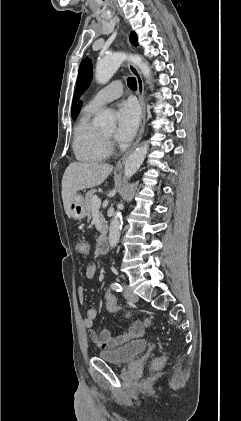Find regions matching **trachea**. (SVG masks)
I'll return each instance as SVG.
<instances>
[{
	"label": "trachea",
	"mask_w": 241,
	"mask_h": 421,
	"mask_svg": "<svg viewBox=\"0 0 241 421\" xmlns=\"http://www.w3.org/2000/svg\"><path fill=\"white\" fill-rule=\"evenodd\" d=\"M127 85L131 90L137 89V81L135 77H129L127 80Z\"/></svg>",
	"instance_id": "3493384b"
}]
</instances>
